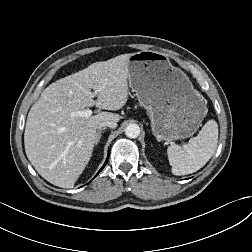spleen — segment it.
I'll use <instances>...</instances> for the list:
<instances>
[{
	"label": "spleen",
	"mask_w": 252,
	"mask_h": 252,
	"mask_svg": "<svg viewBox=\"0 0 252 252\" xmlns=\"http://www.w3.org/2000/svg\"><path fill=\"white\" fill-rule=\"evenodd\" d=\"M218 143V124L214 119L205 123L199 134L180 147L171 144L167 149L174 175L194 173L202 168L214 154Z\"/></svg>",
	"instance_id": "3e777b00"
}]
</instances>
